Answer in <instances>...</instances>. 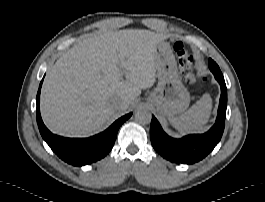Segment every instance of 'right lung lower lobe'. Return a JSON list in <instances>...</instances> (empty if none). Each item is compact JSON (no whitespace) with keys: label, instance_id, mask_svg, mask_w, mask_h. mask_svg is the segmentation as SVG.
<instances>
[{"label":"right lung lower lobe","instance_id":"1","mask_svg":"<svg viewBox=\"0 0 265 202\" xmlns=\"http://www.w3.org/2000/svg\"><path fill=\"white\" fill-rule=\"evenodd\" d=\"M40 83L37 93L36 117L39 131L50 148L65 162L74 166H83L100 160L112 149L118 129L132 115L129 113L116 120L104 132L89 138H64L52 134L44 125L40 115Z\"/></svg>","mask_w":265,"mask_h":202}]
</instances>
